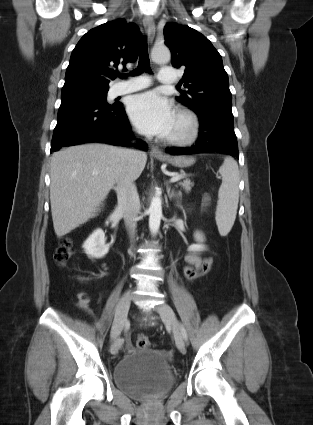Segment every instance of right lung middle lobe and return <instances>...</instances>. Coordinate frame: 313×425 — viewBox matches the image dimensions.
<instances>
[{"mask_svg": "<svg viewBox=\"0 0 313 425\" xmlns=\"http://www.w3.org/2000/svg\"><path fill=\"white\" fill-rule=\"evenodd\" d=\"M109 88H103V89H86L81 90L84 93L90 94L98 99H101L103 101H106L107 98V92Z\"/></svg>", "mask_w": 313, "mask_h": 425, "instance_id": "obj_1", "label": "right lung middle lobe"}]
</instances>
